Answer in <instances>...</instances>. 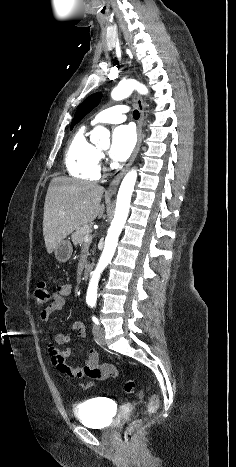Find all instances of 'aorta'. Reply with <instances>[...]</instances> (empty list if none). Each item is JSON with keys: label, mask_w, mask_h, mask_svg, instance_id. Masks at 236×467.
I'll return each mask as SVG.
<instances>
[{"label": "aorta", "mask_w": 236, "mask_h": 467, "mask_svg": "<svg viewBox=\"0 0 236 467\" xmlns=\"http://www.w3.org/2000/svg\"><path fill=\"white\" fill-rule=\"evenodd\" d=\"M134 90H137L140 94H147L148 89L145 85L139 83L136 80L129 79L121 81L117 87H115L111 92V98L113 100L119 101L124 98H127ZM106 129L102 126H97L91 133V141L95 144L99 143V139L105 137ZM137 179V171L136 169H131L123 178L118 195H117V202H116V210L114 214V218L111 222V226L108 229L107 236L105 238V246L103 252L100 256L99 262L92 273L86 300L87 302L95 301L97 298V289L98 283L101 276V273L105 269V267L111 261L114 252L116 250L118 244L119 235L126 223L132 192L135 186V182Z\"/></svg>", "instance_id": "aorta-1"}]
</instances>
